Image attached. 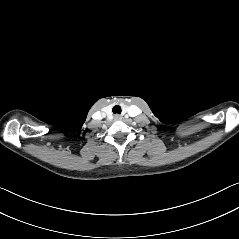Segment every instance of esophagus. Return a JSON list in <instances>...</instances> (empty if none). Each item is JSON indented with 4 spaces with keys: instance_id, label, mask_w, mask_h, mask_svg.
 Returning <instances> with one entry per match:
<instances>
[{
    "instance_id": "esophagus-1",
    "label": "esophagus",
    "mask_w": 239,
    "mask_h": 239,
    "mask_svg": "<svg viewBox=\"0 0 239 239\" xmlns=\"http://www.w3.org/2000/svg\"><path fill=\"white\" fill-rule=\"evenodd\" d=\"M121 118H122V117H121L120 115H118V114L114 116V119H115V120H120Z\"/></svg>"
}]
</instances>
